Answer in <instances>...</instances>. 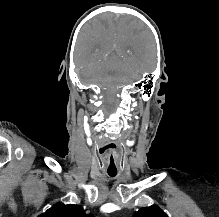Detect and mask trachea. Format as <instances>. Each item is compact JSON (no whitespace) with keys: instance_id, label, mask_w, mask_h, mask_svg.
Segmentation results:
<instances>
[{"instance_id":"trachea-1","label":"trachea","mask_w":219,"mask_h":217,"mask_svg":"<svg viewBox=\"0 0 219 217\" xmlns=\"http://www.w3.org/2000/svg\"><path fill=\"white\" fill-rule=\"evenodd\" d=\"M108 174H109V176L114 177V176H116L117 173H110V172H108Z\"/></svg>"}]
</instances>
